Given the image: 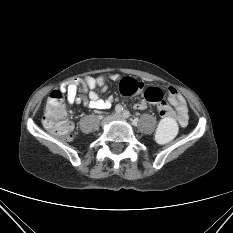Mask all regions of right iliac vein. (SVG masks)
<instances>
[{
  "mask_svg": "<svg viewBox=\"0 0 233 233\" xmlns=\"http://www.w3.org/2000/svg\"><path fill=\"white\" fill-rule=\"evenodd\" d=\"M116 116H117V115L114 114V115L105 117V118L102 120V126L108 125L112 120L115 119Z\"/></svg>",
  "mask_w": 233,
  "mask_h": 233,
  "instance_id": "1",
  "label": "right iliac vein"
}]
</instances>
